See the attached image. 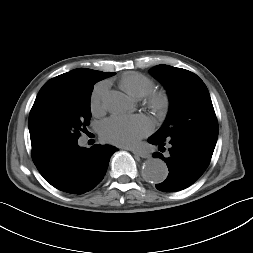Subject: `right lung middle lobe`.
Wrapping results in <instances>:
<instances>
[{"label":"right lung middle lobe","mask_w":253,"mask_h":253,"mask_svg":"<svg viewBox=\"0 0 253 253\" xmlns=\"http://www.w3.org/2000/svg\"><path fill=\"white\" fill-rule=\"evenodd\" d=\"M96 82L62 80L40 89L28 122L33 149L51 156L78 141L91 118L90 96Z\"/></svg>","instance_id":"1"}]
</instances>
